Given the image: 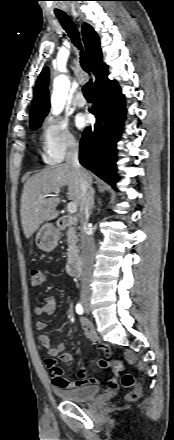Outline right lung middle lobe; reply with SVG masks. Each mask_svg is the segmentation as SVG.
I'll list each match as a JSON object with an SVG mask.
<instances>
[{
	"label": "right lung middle lobe",
	"mask_w": 174,
	"mask_h": 440,
	"mask_svg": "<svg viewBox=\"0 0 174 440\" xmlns=\"http://www.w3.org/2000/svg\"><path fill=\"white\" fill-rule=\"evenodd\" d=\"M42 121H38L35 123L30 124L31 129L35 130L38 129L41 126Z\"/></svg>",
	"instance_id": "dd1d6c3e"
}]
</instances>
